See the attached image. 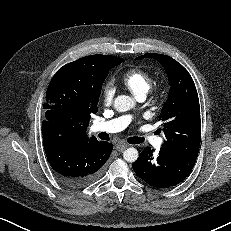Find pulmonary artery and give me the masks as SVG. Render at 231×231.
I'll list each match as a JSON object with an SVG mask.
<instances>
[{
	"label": "pulmonary artery",
	"instance_id": "obj_1",
	"mask_svg": "<svg viewBox=\"0 0 231 231\" xmlns=\"http://www.w3.org/2000/svg\"><path fill=\"white\" fill-rule=\"evenodd\" d=\"M145 96L138 97L139 101L144 100ZM131 121L130 115H124L117 117L115 119L104 121V122H96L92 125V130L94 132H108V133H116L125 129ZM144 139L153 144L154 146L159 147L161 143V139L153 136L151 133H144Z\"/></svg>",
	"mask_w": 231,
	"mask_h": 231
}]
</instances>
